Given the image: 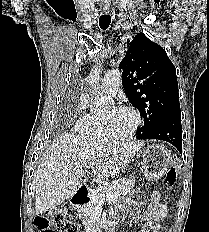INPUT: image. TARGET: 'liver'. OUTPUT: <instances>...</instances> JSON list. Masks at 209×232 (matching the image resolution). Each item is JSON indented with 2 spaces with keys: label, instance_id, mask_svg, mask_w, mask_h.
<instances>
[{
  "label": "liver",
  "instance_id": "liver-1",
  "mask_svg": "<svg viewBox=\"0 0 209 232\" xmlns=\"http://www.w3.org/2000/svg\"><path fill=\"white\" fill-rule=\"evenodd\" d=\"M140 142H107L64 134L56 139L40 162L35 177L36 214L70 199L80 187L87 166L98 183L119 174L143 147Z\"/></svg>",
  "mask_w": 209,
  "mask_h": 232
}]
</instances>
